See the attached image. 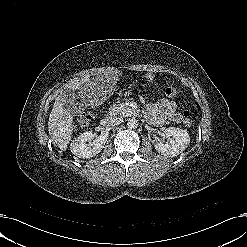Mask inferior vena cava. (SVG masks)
Segmentation results:
<instances>
[{
  "instance_id": "obj_1",
  "label": "inferior vena cava",
  "mask_w": 247,
  "mask_h": 247,
  "mask_svg": "<svg viewBox=\"0 0 247 247\" xmlns=\"http://www.w3.org/2000/svg\"><path fill=\"white\" fill-rule=\"evenodd\" d=\"M123 122V118L113 116V115H108V125L109 126H116L119 125Z\"/></svg>"
}]
</instances>
